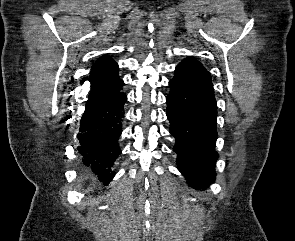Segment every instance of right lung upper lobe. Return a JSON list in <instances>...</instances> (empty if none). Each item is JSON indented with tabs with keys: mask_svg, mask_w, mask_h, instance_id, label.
Segmentation results:
<instances>
[{
	"mask_svg": "<svg viewBox=\"0 0 295 241\" xmlns=\"http://www.w3.org/2000/svg\"><path fill=\"white\" fill-rule=\"evenodd\" d=\"M118 70V64L108 55L99 58L90 71L91 90L107 87L121 81Z\"/></svg>",
	"mask_w": 295,
	"mask_h": 241,
	"instance_id": "cb5924a9",
	"label": "right lung upper lobe"
}]
</instances>
